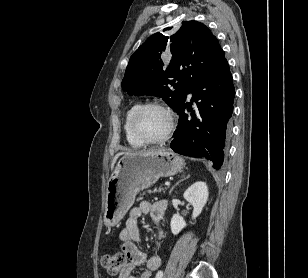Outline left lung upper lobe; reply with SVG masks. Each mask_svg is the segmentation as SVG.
Returning a JSON list of instances; mask_svg holds the SVG:
<instances>
[{"label": "left lung upper lobe", "mask_w": 308, "mask_h": 278, "mask_svg": "<svg viewBox=\"0 0 308 278\" xmlns=\"http://www.w3.org/2000/svg\"><path fill=\"white\" fill-rule=\"evenodd\" d=\"M224 56L208 27L184 21L175 33H156L135 51L122 88L129 95L161 97L176 111L185 102L189 89L217 67Z\"/></svg>", "instance_id": "5c2ea615"}]
</instances>
